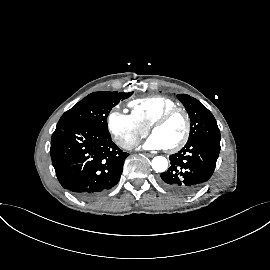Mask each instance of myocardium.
Returning <instances> with one entry per match:
<instances>
[{"instance_id": "f54148a6", "label": "myocardium", "mask_w": 270, "mask_h": 270, "mask_svg": "<svg viewBox=\"0 0 270 270\" xmlns=\"http://www.w3.org/2000/svg\"><path fill=\"white\" fill-rule=\"evenodd\" d=\"M181 113L185 117L186 120V128L185 132L182 136V138L173 146L165 148L168 152H176L183 148L187 141L189 140L190 134H191V118L189 113L182 107L176 106L171 109H168L163 114H161L150 126V131L153 133L154 130L161 125L165 124L170 118H172L174 115Z\"/></svg>"}]
</instances>
